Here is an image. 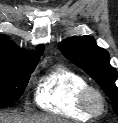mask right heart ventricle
Listing matches in <instances>:
<instances>
[{"label": "right heart ventricle", "instance_id": "1", "mask_svg": "<svg viewBox=\"0 0 118 123\" xmlns=\"http://www.w3.org/2000/svg\"><path fill=\"white\" fill-rule=\"evenodd\" d=\"M88 86L86 79L63 65H55L39 79L35 89V102L52 114L81 121L92 117L82 111L78 104L81 90Z\"/></svg>", "mask_w": 118, "mask_h": 123}]
</instances>
